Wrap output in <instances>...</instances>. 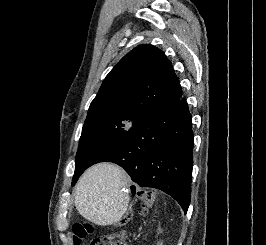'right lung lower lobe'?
<instances>
[{"instance_id": "98d812e1", "label": "right lung lower lobe", "mask_w": 266, "mask_h": 245, "mask_svg": "<svg viewBox=\"0 0 266 245\" xmlns=\"http://www.w3.org/2000/svg\"><path fill=\"white\" fill-rule=\"evenodd\" d=\"M191 119L188 104L181 96L142 117L89 166L104 161L116 163L140 186L170 195L186 213L193 167Z\"/></svg>"}]
</instances>
